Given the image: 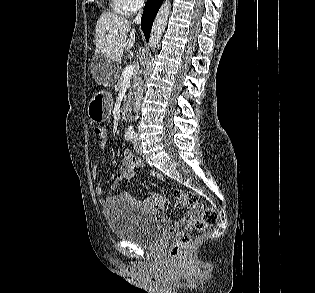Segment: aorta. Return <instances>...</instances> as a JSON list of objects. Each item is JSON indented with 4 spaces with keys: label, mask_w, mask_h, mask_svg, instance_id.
<instances>
[{
    "label": "aorta",
    "mask_w": 315,
    "mask_h": 293,
    "mask_svg": "<svg viewBox=\"0 0 315 293\" xmlns=\"http://www.w3.org/2000/svg\"><path fill=\"white\" fill-rule=\"evenodd\" d=\"M171 11V2L170 0H165L160 7L154 23L152 25L151 33H150V40L149 46L152 50H155L158 47L161 37L165 31L167 20ZM133 127L130 126L129 129Z\"/></svg>",
    "instance_id": "obj_1"
}]
</instances>
